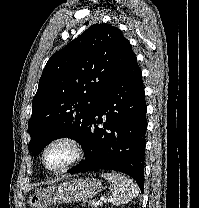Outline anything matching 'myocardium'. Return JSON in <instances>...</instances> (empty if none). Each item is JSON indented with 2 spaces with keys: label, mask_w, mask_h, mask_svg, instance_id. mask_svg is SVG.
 <instances>
[{
  "label": "myocardium",
  "mask_w": 199,
  "mask_h": 208,
  "mask_svg": "<svg viewBox=\"0 0 199 208\" xmlns=\"http://www.w3.org/2000/svg\"><path fill=\"white\" fill-rule=\"evenodd\" d=\"M57 143H67L71 145L74 150V155H73V158L66 164L60 167L52 168L48 166L46 162V153L51 146ZM85 154H86L85 147L83 143L77 137L71 134H63V135H59V136L52 138L45 144L41 153V161L44 167L50 172L63 173L73 168L74 166L78 165L84 159Z\"/></svg>",
  "instance_id": "f54148a6"
}]
</instances>
